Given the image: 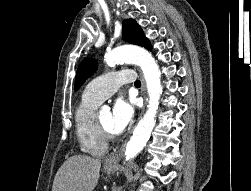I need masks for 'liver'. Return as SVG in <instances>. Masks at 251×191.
I'll return each mask as SVG.
<instances>
[{
	"mask_svg": "<svg viewBox=\"0 0 251 191\" xmlns=\"http://www.w3.org/2000/svg\"><path fill=\"white\" fill-rule=\"evenodd\" d=\"M101 159L71 155L59 167L52 191H93L100 177Z\"/></svg>",
	"mask_w": 251,
	"mask_h": 191,
	"instance_id": "liver-1",
	"label": "liver"
}]
</instances>
